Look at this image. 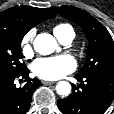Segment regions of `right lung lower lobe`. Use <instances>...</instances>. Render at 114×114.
Listing matches in <instances>:
<instances>
[{
    "label": "right lung lower lobe",
    "mask_w": 114,
    "mask_h": 114,
    "mask_svg": "<svg viewBox=\"0 0 114 114\" xmlns=\"http://www.w3.org/2000/svg\"><path fill=\"white\" fill-rule=\"evenodd\" d=\"M16 78L26 80L23 87H16ZM40 85L41 81L37 78H29L27 68L13 77L0 78V114H25L31 106L33 92Z\"/></svg>",
    "instance_id": "obj_1"
}]
</instances>
